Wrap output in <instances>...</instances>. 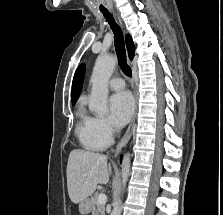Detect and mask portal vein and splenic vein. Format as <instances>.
<instances>
[{"label":"portal vein and splenic vein","instance_id":"18ae733b","mask_svg":"<svg viewBox=\"0 0 223 215\" xmlns=\"http://www.w3.org/2000/svg\"><path fill=\"white\" fill-rule=\"evenodd\" d=\"M106 201H107V195H105V193H100V195H98L99 205H105Z\"/></svg>","mask_w":223,"mask_h":215}]
</instances>
